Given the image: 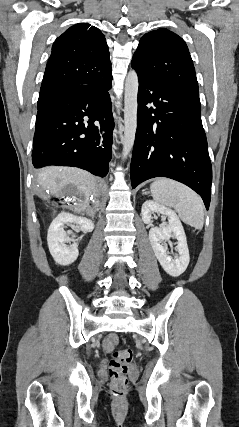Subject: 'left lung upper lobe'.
<instances>
[{
  "mask_svg": "<svg viewBox=\"0 0 239 427\" xmlns=\"http://www.w3.org/2000/svg\"><path fill=\"white\" fill-rule=\"evenodd\" d=\"M131 65L143 76L199 96L188 47L181 37L167 29L145 34L134 53Z\"/></svg>",
  "mask_w": 239,
  "mask_h": 427,
  "instance_id": "5c2ea615",
  "label": "left lung upper lobe"
}]
</instances>
